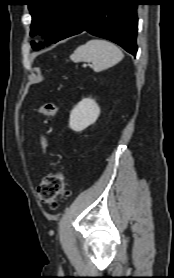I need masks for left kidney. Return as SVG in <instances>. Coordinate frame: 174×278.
Here are the masks:
<instances>
[{
  "label": "left kidney",
  "instance_id": "1",
  "mask_svg": "<svg viewBox=\"0 0 174 278\" xmlns=\"http://www.w3.org/2000/svg\"><path fill=\"white\" fill-rule=\"evenodd\" d=\"M100 115L98 104L90 98L80 101L71 111L69 126L75 132H80L94 124Z\"/></svg>",
  "mask_w": 174,
  "mask_h": 278
}]
</instances>
